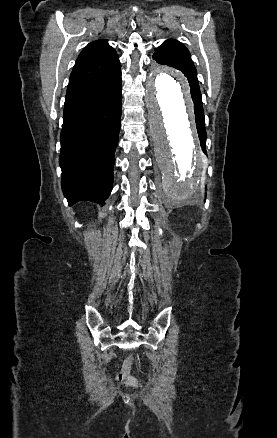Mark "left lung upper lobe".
Masks as SVG:
<instances>
[{"label":"left lung upper lobe","instance_id":"obj_1","mask_svg":"<svg viewBox=\"0 0 277 438\" xmlns=\"http://www.w3.org/2000/svg\"><path fill=\"white\" fill-rule=\"evenodd\" d=\"M153 59L156 60L157 63L166 64L182 71L190 84L191 96L194 102V112L202 114V99L197 80V72L188 49L179 41L169 39L155 49Z\"/></svg>","mask_w":277,"mask_h":438}]
</instances>
